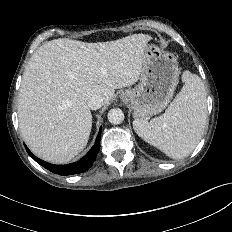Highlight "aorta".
<instances>
[{"mask_svg": "<svg viewBox=\"0 0 232 232\" xmlns=\"http://www.w3.org/2000/svg\"><path fill=\"white\" fill-rule=\"evenodd\" d=\"M108 120L112 124H120L124 120V113L120 108H113L108 113Z\"/></svg>", "mask_w": 232, "mask_h": 232, "instance_id": "aorta-1", "label": "aorta"}]
</instances>
